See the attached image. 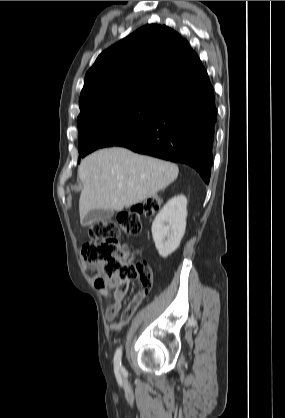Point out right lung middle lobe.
I'll return each mask as SVG.
<instances>
[{"label":"right lung middle lobe","mask_w":285,"mask_h":418,"mask_svg":"<svg viewBox=\"0 0 285 418\" xmlns=\"http://www.w3.org/2000/svg\"><path fill=\"white\" fill-rule=\"evenodd\" d=\"M164 105L151 101H134L111 105L80 120L79 158L96 149L115 146L153 122L163 111Z\"/></svg>","instance_id":"dd1d6c3e"}]
</instances>
